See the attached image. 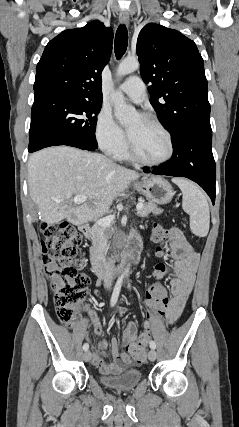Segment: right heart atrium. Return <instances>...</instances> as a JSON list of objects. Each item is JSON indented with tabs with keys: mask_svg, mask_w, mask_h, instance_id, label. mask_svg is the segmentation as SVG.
I'll use <instances>...</instances> for the list:
<instances>
[{
	"mask_svg": "<svg viewBox=\"0 0 239 427\" xmlns=\"http://www.w3.org/2000/svg\"><path fill=\"white\" fill-rule=\"evenodd\" d=\"M95 138L106 154L116 156L126 147L123 130L115 122L111 112L103 109L99 112L95 125Z\"/></svg>",
	"mask_w": 239,
	"mask_h": 427,
	"instance_id": "obj_1",
	"label": "right heart atrium"
}]
</instances>
